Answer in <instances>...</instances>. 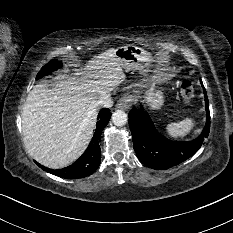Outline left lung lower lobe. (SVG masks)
Segmentation results:
<instances>
[{"mask_svg":"<svg viewBox=\"0 0 233 233\" xmlns=\"http://www.w3.org/2000/svg\"><path fill=\"white\" fill-rule=\"evenodd\" d=\"M201 84L205 96L206 125L201 135L192 141L168 140L155 129L147 112L136 108L129 112L133 147L142 163L153 169H168L190 158L199 150L210 130L209 102L202 81Z\"/></svg>","mask_w":233,"mask_h":233,"instance_id":"0a47b994","label":"left lung lower lobe"}]
</instances>
